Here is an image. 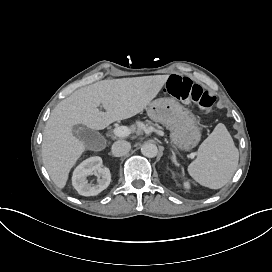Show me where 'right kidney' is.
<instances>
[{
	"instance_id": "1",
	"label": "right kidney",
	"mask_w": 272,
	"mask_h": 272,
	"mask_svg": "<svg viewBox=\"0 0 272 272\" xmlns=\"http://www.w3.org/2000/svg\"><path fill=\"white\" fill-rule=\"evenodd\" d=\"M98 176L97 184L87 182L89 175ZM111 182L109 168L103 167L102 158L99 156L90 157L80 163L74 170L72 185L80 195L95 196L106 189Z\"/></svg>"
}]
</instances>
